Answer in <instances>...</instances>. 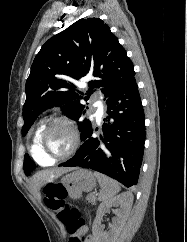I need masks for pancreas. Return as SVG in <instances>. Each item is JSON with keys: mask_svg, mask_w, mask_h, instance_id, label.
<instances>
[{"mask_svg": "<svg viewBox=\"0 0 187 242\" xmlns=\"http://www.w3.org/2000/svg\"><path fill=\"white\" fill-rule=\"evenodd\" d=\"M90 203H92L93 205H96V196L94 195H88L86 198Z\"/></svg>", "mask_w": 187, "mask_h": 242, "instance_id": "cf45deb5", "label": "pancreas"}]
</instances>
